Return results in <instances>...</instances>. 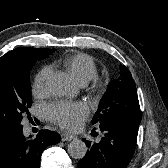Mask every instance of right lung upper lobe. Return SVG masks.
<instances>
[{
  "mask_svg": "<svg viewBox=\"0 0 168 168\" xmlns=\"http://www.w3.org/2000/svg\"><path fill=\"white\" fill-rule=\"evenodd\" d=\"M51 49L35 48H16L0 58V80L15 70L21 59L28 54H45Z\"/></svg>",
  "mask_w": 168,
  "mask_h": 168,
  "instance_id": "right-lung-upper-lobe-1",
  "label": "right lung upper lobe"
}]
</instances>
